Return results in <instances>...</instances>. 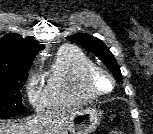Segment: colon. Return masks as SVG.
<instances>
[{
	"instance_id": "1",
	"label": "colon",
	"mask_w": 153,
	"mask_h": 134,
	"mask_svg": "<svg viewBox=\"0 0 153 134\" xmlns=\"http://www.w3.org/2000/svg\"><path fill=\"white\" fill-rule=\"evenodd\" d=\"M108 134H123V133H121V132H116V131H113V132H110V133H108Z\"/></svg>"
}]
</instances>
